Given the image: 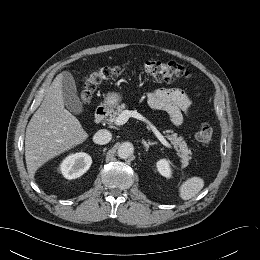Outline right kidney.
<instances>
[{"mask_svg": "<svg viewBox=\"0 0 260 260\" xmlns=\"http://www.w3.org/2000/svg\"><path fill=\"white\" fill-rule=\"evenodd\" d=\"M92 158L86 153H75L67 156L60 164V170L66 179L82 176L91 166Z\"/></svg>", "mask_w": 260, "mask_h": 260, "instance_id": "obj_1", "label": "right kidney"}]
</instances>
